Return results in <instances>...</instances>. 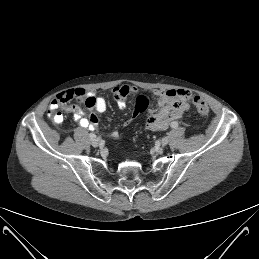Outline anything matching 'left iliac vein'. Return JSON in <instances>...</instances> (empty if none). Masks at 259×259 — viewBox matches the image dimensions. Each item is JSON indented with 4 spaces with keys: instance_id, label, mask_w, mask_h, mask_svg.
<instances>
[{
    "instance_id": "1",
    "label": "left iliac vein",
    "mask_w": 259,
    "mask_h": 259,
    "mask_svg": "<svg viewBox=\"0 0 259 259\" xmlns=\"http://www.w3.org/2000/svg\"><path fill=\"white\" fill-rule=\"evenodd\" d=\"M169 142V138L168 137H163L161 140V145L162 146H166Z\"/></svg>"
}]
</instances>
